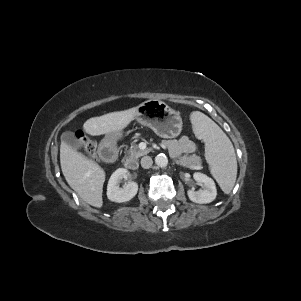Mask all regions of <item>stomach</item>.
Instances as JSON below:
<instances>
[{
    "label": "stomach",
    "instance_id": "stomach-1",
    "mask_svg": "<svg viewBox=\"0 0 301 301\" xmlns=\"http://www.w3.org/2000/svg\"><path fill=\"white\" fill-rule=\"evenodd\" d=\"M136 119L162 138H175L183 127L180 113L159 100H148L137 107Z\"/></svg>",
    "mask_w": 301,
    "mask_h": 301
}]
</instances>
